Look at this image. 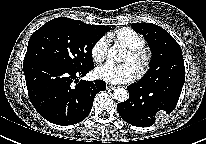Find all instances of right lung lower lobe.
I'll use <instances>...</instances> for the list:
<instances>
[{
    "instance_id": "right-lung-lower-lobe-1",
    "label": "right lung lower lobe",
    "mask_w": 206,
    "mask_h": 144,
    "mask_svg": "<svg viewBox=\"0 0 206 144\" xmlns=\"http://www.w3.org/2000/svg\"><path fill=\"white\" fill-rule=\"evenodd\" d=\"M92 67L73 70L47 61L23 63L28 95L35 109L49 122L66 126L83 121L95 95L106 89L102 80H80Z\"/></svg>"
}]
</instances>
